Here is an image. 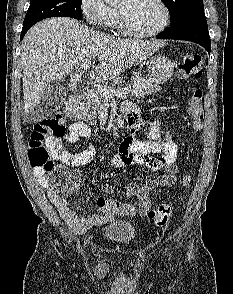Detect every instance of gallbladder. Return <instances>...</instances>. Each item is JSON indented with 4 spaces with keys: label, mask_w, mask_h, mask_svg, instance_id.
Segmentation results:
<instances>
[{
    "label": "gallbladder",
    "mask_w": 233,
    "mask_h": 294,
    "mask_svg": "<svg viewBox=\"0 0 233 294\" xmlns=\"http://www.w3.org/2000/svg\"><path fill=\"white\" fill-rule=\"evenodd\" d=\"M67 97L65 87L60 83L50 84L46 87L40 104L34 111L35 118L40 121L51 116L54 111L61 106Z\"/></svg>",
    "instance_id": "bac80fb5"
}]
</instances>
